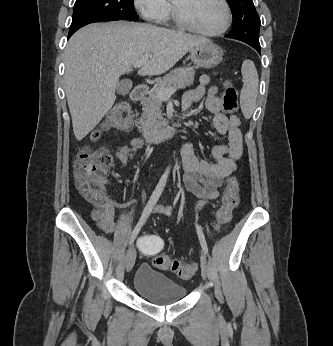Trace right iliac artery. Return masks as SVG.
<instances>
[{
    "label": "right iliac artery",
    "mask_w": 333,
    "mask_h": 346,
    "mask_svg": "<svg viewBox=\"0 0 333 346\" xmlns=\"http://www.w3.org/2000/svg\"><path fill=\"white\" fill-rule=\"evenodd\" d=\"M168 174H169V171L166 170L164 172V174L162 175V177L160 178L156 188L154 189L150 199L148 200L145 208H144V211L142 213V216L141 218L139 219L137 225L135 226L131 236H130V239H129V245H131L134 240L136 239L141 227L143 226V224L146 222L148 216L150 215L153 207L155 206V204L157 203L159 197L161 196L163 190H164V187L166 185V181H167V178H168Z\"/></svg>",
    "instance_id": "right-iliac-artery-1"
}]
</instances>
